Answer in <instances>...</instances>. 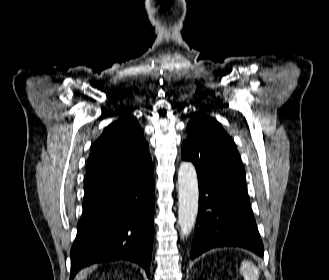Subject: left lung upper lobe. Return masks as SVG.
Returning <instances> with one entry per match:
<instances>
[{
  "label": "left lung upper lobe",
  "mask_w": 329,
  "mask_h": 280,
  "mask_svg": "<svg viewBox=\"0 0 329 280\" xmlns=\"http://www.w3.org/2000/svg\"><path fill=\"white\" fill-rule=\"evenodd\" d=\"M181 156L194 163L201 186L229 185L227 172L245 181L234 142L217 121L205 114L195 113L187 124V139L182 144Z\"/></svg>",
  "instance_id": "5c2ea615"
}]
</instances>
